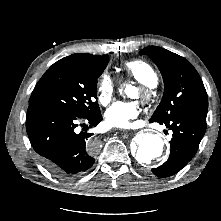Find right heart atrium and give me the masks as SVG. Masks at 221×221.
I'll list each match as a JSON object with an SVG mask.
<instances>
[{
	"label": "right heart atrium",
	"mask_w": 221,
	"mask_h": 221,
	"mask_svg": "<svg viewBox=\"0 0 221 221\" xmlns=\"http://www.w3.org/2000/svg\"><path fill=\"white\" fill-rule=\"evenodd\" d=\"M115 88V82L110 74H102L96 86L98 102L102 105H106L113 96Z\"/></svg>",
	"instance_id": "obj_1"
}]
</instances>
